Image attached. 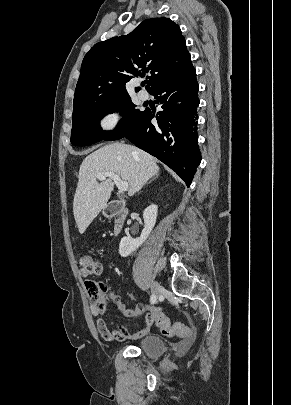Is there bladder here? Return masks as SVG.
<instances>
[{
  "label": "bladder",
  "mask_w": 291,
  "mask_h": 405,
  "mask_svg": "<svg viewBox=\"0 0 291 405\" xmlns=\"http://www.w3.org/2000/svg\"><path fill=\"white\" fill-rule=\"evenodd\" d=\"M136 347L143 353L152 358H157L164 354L166 351V344L164 340L158 335L150 334L141 338Z\"/></svg>",
  "instance_id": "obj_1"
}]
</instances>
